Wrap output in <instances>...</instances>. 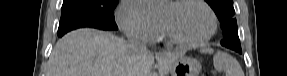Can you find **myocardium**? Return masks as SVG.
Listing matches in <instances>:
<instances>
[{
  "label": "myocardium",
  "instance_id": "f54148a6",
  "mask_svg": "<svg viewBox=\"0 0 287 76\" xmlns=\"http://www.w3.org/2000/svg\"><path fill=\"white\" fill-rule=\"evenodd\" d=\"M186 3H196L201 5L209 14L210 16V28L206 35H204L202 38L189 41V40H184L178 37L170 28V26L167 24V22L163 19H160L161 22V27L164 32V35L166 38L173 44L179 45L182 47H188V48H194V47H199L207 42H209L212 37L215 35L217 28H218V18L212 7L204 0H177L170 2V5L172 7H178L180 5L186 4Z\"/></svg>",
  "mask_w": 287,
  "mask_h": 76
}]
</instances>
